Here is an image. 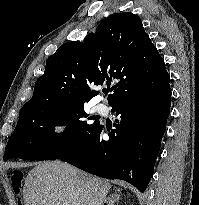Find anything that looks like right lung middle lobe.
Wrapping results in <instances>:
<instances>
[{
    "label": "right lung middle lobe",
    "instance_id": "obj_1",
    "mask_svg": "<svg viewBox=\"0 0 199 205\" xmlns=\"http://www.w3.org/2000/svg\"><path fill=\"white\" fill-rule=\"evenodd\" d=\"M84 104L42 102L24 105L3 159L55 160L80 151L101 125L87 122ZM91 119V118H88ZM55 126H67L55 134Z\"/></svg>",
    "mask_w": 199,
    "mask_h": 205
}]
</instances>
